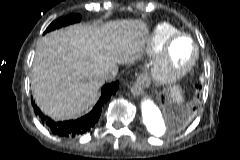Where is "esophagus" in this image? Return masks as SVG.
Returning a JSON list of instances; mask_svg holds the SVG:
<instances>
[{
	"label": "esophagus",
	"instance_id": "esophagus-1",
	"mask_svg": "<svg viewBox=\"0 0 240 160\" xmlns=\"http://www.w3.org/2000/svg\"><path fill=\"white\" fill-rule=\"evenodd\" d=\"M151 84V80L148 76L142 75L137 78L131 87L132 94L134 96H141L144 93V89L148 88Z\"/></svg>",
	"mask_w": 240,
	"mask_h": 160
}]
</instances>
